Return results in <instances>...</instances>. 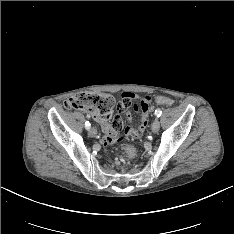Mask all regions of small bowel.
I'll return each instance as SVG.
<instances>
[{"mask_svg": "<svg viewBox=\"0 0 234 234\" xmlns=\"http://www.w3.org/2000/svg\"><path fill=\"white\" fill-rule=\"evenodd\" d=\"M129 95L126 97H122V102H117L119 106L117 111L115 112V117L111 118L110 122L107 120H100L95 116V119L101 124L103 129V137L102 143L106 146L112 145L121 139L117 138L118 131L122 130L123 122L119 116V112H123L126 118L129 121H132V114L127 110L131 104V100L138 99V104L134 105V110L141 111L142 118L140 120V124L135 126L130 125L125 129V134L127 136H134L135 139H140L143 133L144 128L147 127V123L149 121V103L151 101L150 97H138L133 93H124L123 96ZM162 104V103H160ZM132 148V147H131Z\"/></svg>", "mask_w": 234, "mask_h": 234, "instance_id": "1", "label": "small bowel"}]
</instances>
